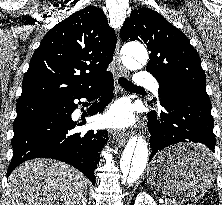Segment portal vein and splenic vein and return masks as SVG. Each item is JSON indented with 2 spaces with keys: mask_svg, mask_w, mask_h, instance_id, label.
Here are the masks:
<instances>
[{
  "mask_svg": "<svg viewBox=\"0 0 222 205\" xmlns=\"http://www.w3.org/2000/svg\"><path fill=\"white\" fill-rule=\"evenodd\" d=\"M159 201H160L161 203H164V201H165V202H166V201H169V199L164 200V199L161 198Z\"/></svg>",
  "mask_w": 222,
  "mask_h": 205,
  "instance_id": "portal-vein-and-splenic-vein-1",
  "label": "portal vein and splenic vein"
}]
</instances>
